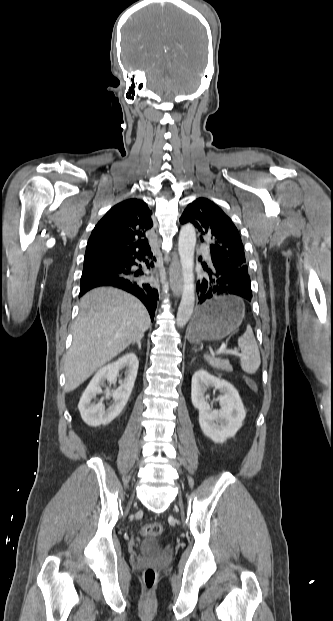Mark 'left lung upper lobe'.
Masks as SVG:
<instances>
[{"label": "left lung upper lobe", "instance_id": "5c2ea615", "mask_svg": "<svg viewBox=\"0 0 333 621\" xmlns=\"http://www.w3.org/2000/svg\"><path fill=\"white\" fill-rule=\"evenodd\" d=\"M180 222L192 223L209 238L210 254L228 261L234 268L248 270L239 231L215 203L206 198L194 200L182 213Z\"/></svg>", "mask_w": 333, "mask_h": 621}]
</instances>
